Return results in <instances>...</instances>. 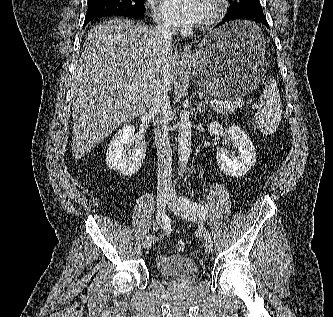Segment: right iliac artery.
Segmentation results:
<instances>
[{
  "label": "right iliac artery",
  "mask_w": 333,
  "mask_h": 317,
  "mask_svg": "<svg viewBox=\"0 0 333 317\" xmlns=\"http://www.w3.org/2000/svg\"><path fill=\"white\" fill-rule=\"evenodd\" d=\"M157 222L166 231L167 234L171 233V230H172L171 229V222H170L168 216H166V214L158 212ZM146 239L151 240V241H155L156 237L154 235H148L146 237Z\"/></svg>",
  "instance_id": "obj_1"
}]
</instances>
